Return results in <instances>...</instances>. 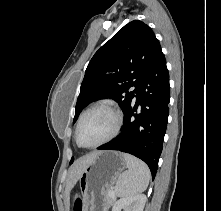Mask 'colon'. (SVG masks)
Segmentation results:
<instances>
[{
  "instance_id": "colon-1",
  "label": "colon",
  "mask_w": 221,
  "mask_h": 211,
  "mask_svg": "<svg viewBox=\"0 0 221 211\" xmlns=\"http://www.w3.org/2000/svg\"><path fill=\"white\" fill-rule=\"evenodd\" d=\"M74 211H83V203L79 198L74 201Z\"/></svg>"
}]
</instances>
